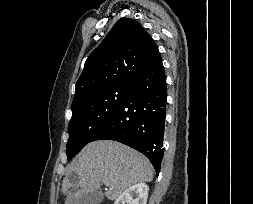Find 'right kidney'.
Here are the masks:
<instances>
[{
    "instance_id": "obj_1",
    "label": "right kidney",
    "mask_w": 253,
    "mask_h": 204,
    "mask_svg": "<svg viewBox=\"0 0 253 204\" xmlns=\"http://www.w3.org/2000/svg\"><path fill=\"white\" fill-rule=\"evenodd\" d=\"M149 187L145 183H138L125 190L114 204H146Z\"/></svg>"
}]
</instances>
